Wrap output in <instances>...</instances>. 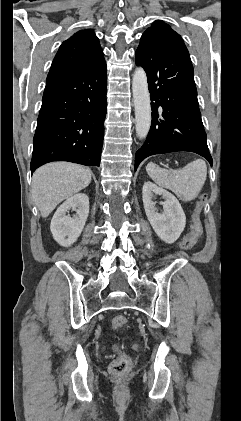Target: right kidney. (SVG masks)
Here are the masks:
<instances>
[{"mask_svg": "<svg viewBox=\"0 0 241 421\" xmlns=\"http://www.w3.org/2000/svg\"><path fill=\"white\" fill-rule=\"evenodd\" d=\"M75 211L73 216L69 211ZM89 214V198L79 193L68 198L55 212L50 229L53 238L60 245L67 247L80 236Z\"/></svg>", "mask_w": 241, "mask_h": 421, "instance_id": "1", "label": "right kidney"}]
</instances>
